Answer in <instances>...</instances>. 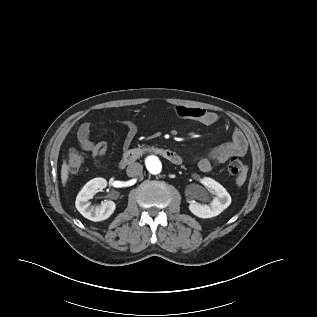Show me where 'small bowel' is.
<instances>
[{"label":"small bowel","mask_w":317,"mask_h":317,"mask_svg":"<svg viewBox=\"0 0 317 317\" xmlns=\"http://www.w3.org/2000/svg\"><path fill=\"white\" fill-rule=\"evenodd\" d=\"M175 113L178 117L189 118L207 126L213 125L218 120L215 112L199 107L179 105L175 108ZM122 125L127 131L124 145L128 146L137 135V126L132 121H123ZM90 133V124H82L77 132L78 143L83 150L91 154L94 163L98 167H102L108 144L105 141L94 142ZM247 150L248 142L245 134L240 129L235 128L231 141L212 149L206 157L198 161L197 166L202 172H210L215 163L221 164L230 158L242 157L247 153Z\"/></svg>","instance_id":"c3829d8e"}]
</instances>
